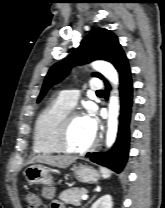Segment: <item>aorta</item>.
I'll return each instance as SVG.
<instances>
[{"mask_svg":"<svg viewBox=\"0 0 165 208\" xmlns=\"http://www.w3.org/2000/svg\"><path fill=\"white\" fill-rule=\"evenodd\" d=\"M92 67L102 73L117 87L118 73L112 64L106 61H95L92 63ZM113 93H116V95L112 94L109 101L108 130L106 136L107 147H111L113 145L118 131L119 98L117 90Z\"/></svg>","mask_w":165,"mask_h":208,"instance_id":"762f6f07","label":"aorta"}]
</instances>
